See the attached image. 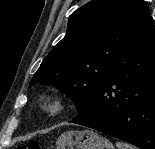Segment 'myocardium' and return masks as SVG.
<instances>
[{"instance_id":"myocardium-1","label":"myocardium","mask_w":155,"mask_h":149,"mask_svg":"<svg viewBox=\"0 0 155 149\" xmlns=\"http://www.w3.org/2000/svg\"><path fill=\"white\" fill-rule=\"evenodd\" d=\"M40 108L47 117H58L65 111L66 101L62 96L49 95L41 100Z\"/></svg>"}]
</instances>
